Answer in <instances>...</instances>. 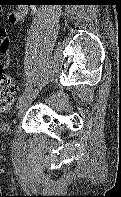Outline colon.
Returning <instances> with one entry per match:
<instances>
[{"mask_svg":"<svg viewBox=\"0 0 121 197\" xmlns=\"http://www.w3.org/2000/svg\"><path fill=\"white\" fill-rule=\"evenodd\" d=\"M16 86L10 75L3 72L0 67V111H6L14 103Z\"/></svg>","mask_w":121,"mask_h":197,"instance_id":"colon-1","label":"colon"}]
</instances>
